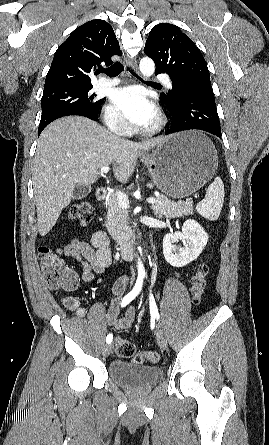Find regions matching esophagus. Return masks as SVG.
Wrapping results in <instances>:
<instances>
[{"mask_svg":"<svg viewBox=\"0 0 269 445\" xmlns=\"http://www.w3.org/2000/svg\"><path fill=\"white\" fill-rule=\"evenodd\" d=\"M126 65H127L129 68H131V69L137 71V64H136V62H135L133 59H131V58H129V57L126 58Z\"/></svg>","mask_w":269,"mask_h":445,"instance_id":"esophagus-1","label":"esophagus"}]
</instances>
